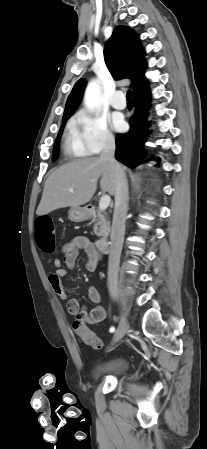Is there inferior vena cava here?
I'll list each match as a JSON object with an SVG mask.
<instances>
[{
	"label": "inferior vena cava",
	"mask_w": 207,
	"mask_h": 449,
	"mask_svg": "<svg viewBox=\"0 0 207 449\" xmlns=\"http://www.w3.org/2000/svg\"><path fill=\"white\" fill-rule=\"evenodd\" d=\"M115 140L112 136L107 137L104 143L100 159L107 161L114 170L116 180L115 190V210L113 215L111 242L108 260V277L107 284L110 294H117L118 271L120 255L125 234V218L128 211V182L126 174L122 166L116 161L115 157Z\"/></svg>",
	"instance_id": "1"
}]
</instances>
